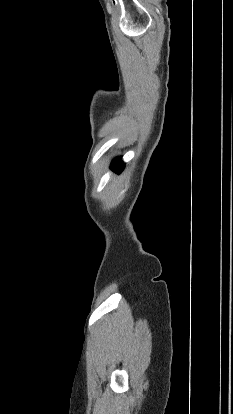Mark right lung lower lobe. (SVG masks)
Wrapping results in <instances>:
<instances>
[{
    "label": "right lung lower lobe",
    "instance_id": "1",
    "mask_svg": "<svg viewBox=\"0 0 233 414\" xmlns=\"http://www.w3.org/2000/svg\"><path fill=\"white\" fill-rule=\"evenodd\" d=\"M124 167V163L121 161V158H116L111 165V168L116 172L120 173Z\"/></svg>",
    "mask_w": 233,
    "mask_h": 414
}]
</instances>
